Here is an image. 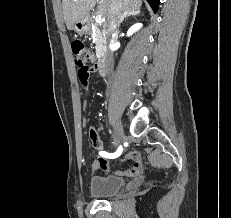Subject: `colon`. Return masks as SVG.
<instances>
[{"label": "colon", "mask_w": 231, "mask_h": 218, "mask_svg": "<svg viewBox=\"0 0 231 218\" xmlns=\"http://www.w3.org/2000/svg\"><path fill=\"white\" fill-rule=\"evenodd\" d=\"M71 49L78 69H82L83 66H92L95 63L94 52L87 48L82 41H73Z\"/></svg>", "instance_id": "5ec220e1"}]
</instances>
